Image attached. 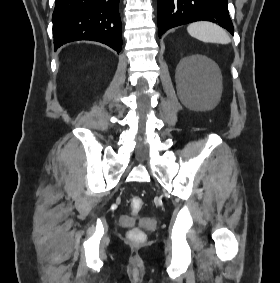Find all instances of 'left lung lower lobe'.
Returning <instances> with one entry per match:
<instances>
[{"mask_svg": "<svg viewBox=\"0 0 280 283\" xmlns=\"http://www.w3.org/2000/svg\"><path fill=\"white\" fill-rule=\"evenodd\" d=\"M214 22L234 33L227 0H158V34L194 21Z\"/></svg>", "mask_w": 280, "mask_h": 283, "instance_id": "1", "label": "left lung lower lobe"}]
</instances>
